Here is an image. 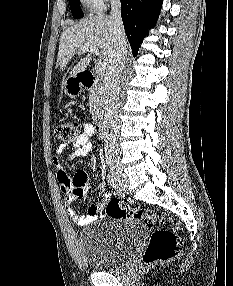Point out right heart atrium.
<instances>
[{
	"label": "right heart atrium",
	"mask_w": 233,
	"mask_h": 286,
	"mask_svg": "<svg viewBox=\"0 0 233 286\" xmlns=\"http://www.w3.org/2000/svg\"><path fill=\"white\" fill-rule=\"evenodd\" d=\"M90 7L94 10L101 11L105 8L106 3L110 0H88Z\"/></svg>",
	"instance_id": "right-heart-atrium-1"
}]
</instances>
